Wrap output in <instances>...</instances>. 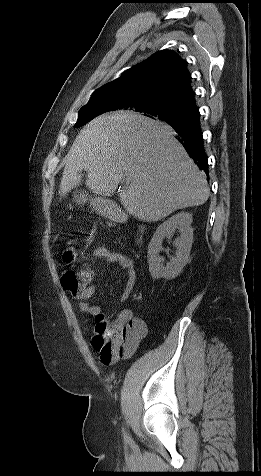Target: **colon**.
<instances>
[{
    "mask_svg": "<svg viewBox=\"0 0 261 476\" xmlns=\"http://www.w3.org/2000/svg\"><path fill=\"white\" fill-rule=\"evenodd\" d=\"M65 261L71 263L74 259V253L66 252ZM92 274L90 270H77L68 267L61 274L62 287L75 294L90 282ZM122 332L120 329L109 326L102 316L97 318L95 335L93 338L94 347L102 354H107L112 347L119 341Z\"/></svg>",
    "mask_w": 261,
    "mask_h": 476,
    "instance_id": "1",
    "label": "colon"
}]
</instances>
